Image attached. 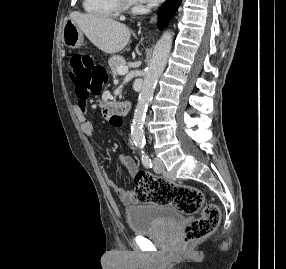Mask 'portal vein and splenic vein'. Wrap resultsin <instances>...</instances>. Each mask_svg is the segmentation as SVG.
I'll list each match as a JSON object with an SVG mask.
<instances>
[{"mask_svg": "<svg viewBox=\"0 0 286 269\" xmlns=\"http://www.w3.org/2000/svg\"><path fill=\"white\" fill-rule=\"evenodd\" d=\"M117 72L119 75H125L128 73V68L127 67H119L117 69Z\"/></svg>", "mask_w": 286, "mask_h": 269, "instance_id": "portal-vein-and-splenic-vein-1", "label": "portal vein and splenic vein"}]
</instances>
